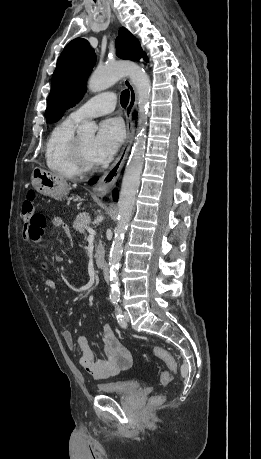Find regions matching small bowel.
Returning a JSON list of instances; mask_svg holds the SVG:
<instances>
[{
    "mask_svg": "<svg viewBox=\"0 0 261 459\" xmlns=\"http://www.w3.org/2000/svg\"><path fill=\"white\" fill-rule=\"evenodd\" d=\"M52 225L54 227L62 228L64 231L68 230V226L61 217H53ZM43 233L33 234L28 237L24 234L27 241L34 243L41 242ZM34 272H37L34 270ZM42 283L48 290H55L56 284L50 278H43ZM63 339L70 349L78 346L81 351L79 364L95 379H104L119 374L122 371L128 370L132 366V357L129 351L122 345L117 338L112 326L105 324L103 326V351L104 357L96 359L91 351L86 337L79 336L74 340L70 331L63 332Z\"/></svg>",
    "mask_w": 261,
    "mask_h": 459,
    "instance_id": "1",
    "label": "small bowel"
}]
</instances>
